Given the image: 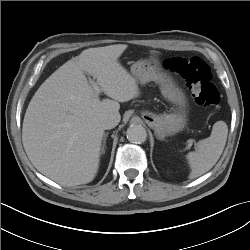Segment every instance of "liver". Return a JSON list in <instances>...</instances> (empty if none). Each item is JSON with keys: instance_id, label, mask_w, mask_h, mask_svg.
Instances as JSON below:
<instances>
[{"instance_id": "liver-1", "label": "liver", "mask_w": 250, "mask_h": 250, "mask_svg": "<svg viewBox=\"0 0 250 250\" xmlns=\"http://www.w3.org/2000/svg\"><path fill=\"white\" fill-rule=\"evenodd\" d=\"M126 44L89 48L59 67L38 88L26 110L22 141L34 167L63 186L91 182L99 168L102 119L119 117V102L140 95L136 79L119 63ZM85 73L96 79L100 100Z\"/></svg>"}]
</instances>
